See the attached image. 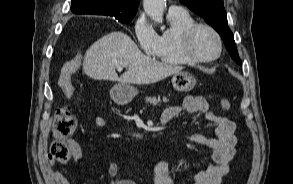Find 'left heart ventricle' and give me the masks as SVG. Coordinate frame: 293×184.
I'll return each instance as SVG.
<instances>
[{"instance_id": "b2bd125f", "label": "left heart ventricle", "mask_w": 293, "mask_h": 184, "mask_svg": "<svg viewBox=\"0 0 293 184\" xmlns=\"http://www.w3.org/2000/svg\"><path fill=\"white\" fill-rule=\"evenodd\" d=\"M191 50L198 57H211L217 53V40L207 29H199L192 38Z\"/></svg>"}]
</instances>
